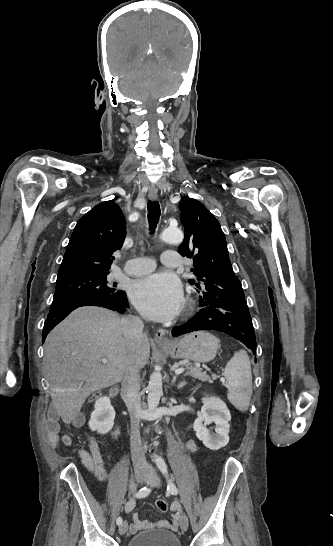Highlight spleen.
<instances>
[{
  "instance_id": "1",
  "label": "spleen",
  "mask_w": 333,
  "mask_h": 546,
  "mask_svg": "<svg viewBox=\"0 0 333 546\" xmlns=\"http://www.w3.org/2000/svg\"><path fill=\"white\" fill-rule=\"evenodd\" d=\"M224 376L229 401L241 412L247 411L252 396V373L246 351L234 354L225 367Z\"/></svg>"
}]
</instances>
